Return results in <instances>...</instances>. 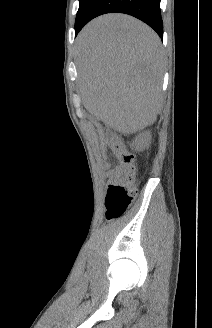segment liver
<instances>
[{
  "mask_svg": "<svg viewBox=\"0 0 212 328\" xmlns=\"http://www.w3.org/2000/svg\"><path fill=\"white\" fill-rule=\"evenodd\" d=\"M76 64L89 113L124 134L154 123L161 109L163 53L150 27L128 15H102L78 35Z\"/></svg>",
  "mask_w": 212,
  "mask_h": 328,
  "instance_id": "1",
  "label": "liver"
}]
</instances>
